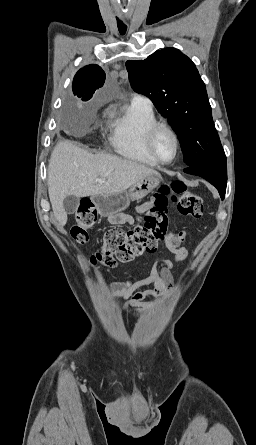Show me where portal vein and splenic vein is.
<instances>
[{
	"mask_svg": "<svg viewBox=\"0 0 256 445\" xmlns=\"http://www.w3.org/2000/svg\"><path fill=\"white\" fill-rule=\"evenodd\" d=\"M96 181H97V182H100V183H103V182H105V180H102V179H99V178H98V179H96Z\"/></svg>",
	"mask_w": 256,
	"mask_h": 445,
	"instance_id": "obj_1",
	"label": "portal vein and splenic vein"
}]
</instances>
